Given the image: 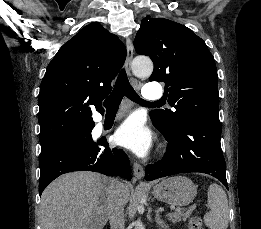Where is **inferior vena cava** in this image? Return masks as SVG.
I'll return each mask as SVG.
<instances>
[{
	"label": "inferior vena cava",
	"instance_id": "602c4592",
	"mask_svg": "<svg viewBox=\"0 0 261 229\" xmlns=\"http://www.w3.org/2000/svg\"><path fill=\"white\" fill-rule=\"evenodd\" d=\"M123 187V183H120L118 179L111 181L107 203L110 229H125L124 203L121 199Z\"/></svg>",
	"mask_w": 261,
	"mask_h": 229
}]
</instances>
